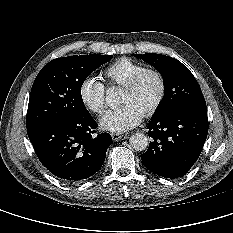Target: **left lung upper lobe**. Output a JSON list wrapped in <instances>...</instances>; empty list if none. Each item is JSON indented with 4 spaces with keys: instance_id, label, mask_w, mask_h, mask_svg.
<instances>
[{
    "instance_id": "1",
    "label": "left lung upper lobe",
    "mask_w": 233,
    "mask_h": 233,
    "mask_svg": "<svg viewBox=\"0 0 233 233\" xmlns=\"http://www.w3.org/2000/svg\"><path fill=\"white\" fill-rule=\"evenodd\" d=\"M135 56H141L142 60L152 65L163 78L165 94L153 119L186 108L207 110L199 84L180 61L155 53Z\"/></svg>"
}]
</instances>
